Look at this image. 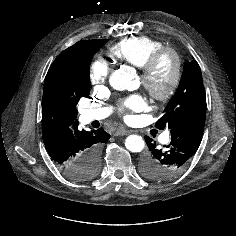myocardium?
Listing matches in <instances>:
<instances>
[{"mask_svg":"<svg viewBox=\"0 0 236 236\" xmlns=\"http://www.w3.org/2000/svg\"><path fill=\"white\" fill-rule=\"evenodd\" d=\"M165 56L173 60V72L167 87L160 88L153 83L152 76L159 63ZM183 60L177 50L172 47H162L154 52L147 61L140 67V78L142 85L149 94L157 101H167L176 92L182 77Z\"/></svg>","mask_w":236,"mask_h":236,"instance_id":"1","label":"myocardium"}]
</instances>
